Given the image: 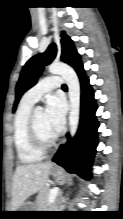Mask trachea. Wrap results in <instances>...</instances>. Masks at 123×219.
<instances>
[{"label": "trachea", "mask_w": 123, "mask_h": 219, "mask_svg": "<svg viewBox=\"0 0 123 219\" xmlns=\"http://www.w3.org/2000/svg\"><path fill=\"white\" fill-rule=\"evenodd\" d=\"M63 89H67V86L65 84L62 85Z\"/></svg>", "instance_id": "obj_1"}]
</instances>
